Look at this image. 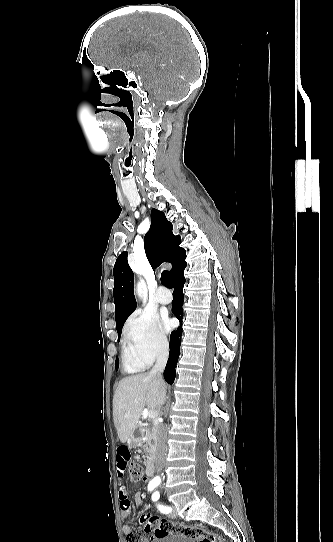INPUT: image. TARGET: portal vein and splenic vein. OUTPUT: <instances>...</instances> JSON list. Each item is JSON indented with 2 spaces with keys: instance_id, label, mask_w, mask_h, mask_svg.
<instances>
[{
  "instance_id": "obj_1",
  "label": "portal vein and splenic vein",
  "mask_w": 333,
  "mask_h": 542,
  "mask_svg": "<svg viewBox=\"0 0 333 542\" xmlns=\"http://www.w3.org/2000/svg\"><path fill=\"white\" fill-rule=\"evenodd\" d=\"M156 410H149L148 412V418H156Z\"/></svg>"
}]
</instances>
